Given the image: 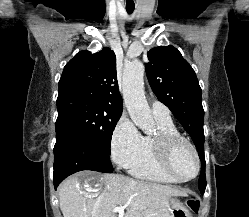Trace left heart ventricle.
<instances>
[{"mask_svg":"<svg viewBox=\"0 0 249 217\" xmlns=\"http://www.w3.org/2000/svg\"><path fill=\"white\" fill-rule=\"evenodd\" d=\"M172 165L176 173L181 177L187 178L194 174L196 169L195 158L186 145H180L176 148L172 158Z\"/></svg>","mask_w":249,"mask_h":217,"instance_id":"1","label":"left heart ventricle"}]
</instances>
